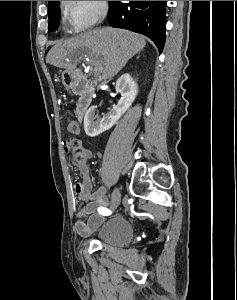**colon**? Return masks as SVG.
Wrapping results in <instances>:
<instances>
[{
	"instance_id": "colon-1",
	"label": "colon",
	"mask_w": 237,
	"mask_h": 300,
	"mask_svg": "<svg viewBox=\"0 0 237 300\" xmlns=\"http://www.w3.org/2000/svg\"><path fill=\"white\" fill-rule=\"evenodd\" d=\"M66 148L74 152L78 161L84 158L81 142L78 139L71 138L66 142Z\"/></svg>"
}]
</instances>
